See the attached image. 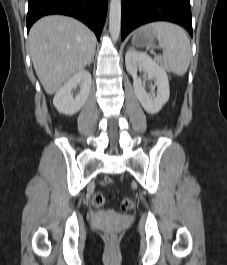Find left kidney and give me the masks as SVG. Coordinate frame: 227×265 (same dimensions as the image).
<instances>
[{"mask_svg":"<svg viewBox=\"0 0 227 265\" xmlns=\"http://www.w3.org/2000/svg\"><path fill=\"white\" fill-rule=\"evenodd\" d=\"M125 64L127 72L133 78L134 92L144 110L150 114L158 113L168 101L170 95L169 81L165 69L147 54L134 50H129L126 53ZM138 69L145 70L148 78L154 80L157 87L156 96L154 94L150 96L146 92L142 80L137 76Z\"/></svg>","mask_w":227,"mask_h":265,"instance_id":"5707ae66","label":"left kidney"}]
</instances>
